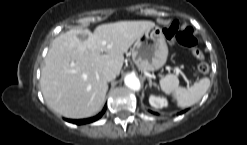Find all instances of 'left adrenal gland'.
<instances>
[{"mask_svg": "<svg viewBox=\"0 0 247 145\" xmlns=\"http://www.w3.org/2000/svg\"><path fill=\"white\" fill-rule=\"evenodd\" d=\"M149 86L152 87V86H155L157 87V84L152 82V80L149 78Z\"/></svg>", "mask_w": 247, "mask_h": 145, "instance_id": "1", "label": "left adrenal gland"}]
</instances>
